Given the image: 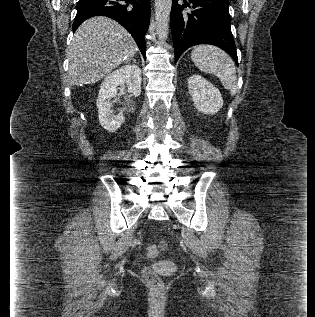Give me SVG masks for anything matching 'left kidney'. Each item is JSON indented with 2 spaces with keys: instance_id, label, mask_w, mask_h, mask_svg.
<instances>
[{
  "instance_id": "1",
  "label": "left kidney",
  "mask_w": 315,
  "mask_h": 317,
  "mask_svg": "<svg viewBox=\"0 0 315 317\" xmlns=\"http://www.w3.org/2000/svg\"><path fill=\"white\" fill-rule=\"evenodd\" d=\"M188 89L198 112L215 114L222 108L223 99L219 89L201 75L188 78Z\"/></svg>"
}]
</instances>
